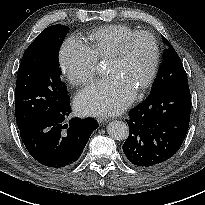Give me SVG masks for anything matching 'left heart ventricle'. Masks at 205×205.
<instances>
[{"label": "left heart ventricle", "mask_w": 205, "mask_h": 205, "mask_svg": "<svg viewBox=\"0 0 205 205\" xmlns=\"http://www.w3.org/2000/svg\"><path fill=\"white\" fill-rule=\"evenodd\" d=\"M152 59L151 41L142 36L132 41L126 56L122 60L108 61L107 71L110 76H118L124 79L137 90L149 74Z\"/></svg>", "instance_id": "1"}]
</instances>
